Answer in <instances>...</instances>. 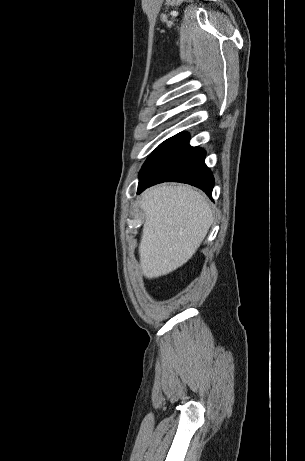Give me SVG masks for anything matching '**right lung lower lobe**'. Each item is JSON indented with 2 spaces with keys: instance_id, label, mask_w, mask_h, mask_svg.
I'll use <instances>...</instances> for the list:
<instances>
[{
  "instance_id": "1",
  "label": "right lung lower lobe",
  "mask_w": 305,
  "mask_h": 461,
  "mask_svg": "<svg viewBox=\"0 0 305 461\" xmlns=\"http://www.w3.org/2000/svg\"><path fill=\"white\" fill-rule=\"evenodd\" d=\"M204 159L205 150L191 147L187 133L167 139L142 166L137 193L157 183L173 181L198 187L212 198L214 178Z\"/></svg>"
}]
</instances>
